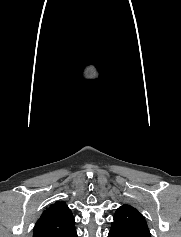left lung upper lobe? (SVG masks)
Wrapping results in <instances>:
<instances>
[{
  "mask_svg": "<svg viewBox=\"0 0 181 237\" xmlns=\"http://www.w3.org/2000/svg\"><path fill=\"white\" fill-rule=\"evenodd\" d=\"M110 232L138 237H151L143 215L127 204L120 206L116 210Z\"/></svg>",
  "mask_w": 181,
  "mask_h": 237,
  "instance_id": "obj_1",
  "label": "left lung upper lobe"
}]
</instances>
